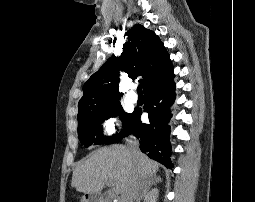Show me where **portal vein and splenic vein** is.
<instances>
[{"label":"portal vein and splenic vein","mask_w":255,"mask_h":202,"mask_svg":"<svg viewBox=\"0 0 255 202\" xmlns=\"http://www.w3.org/2000/svg\"><path fill=\"white\" fill-rule=\"evenodd\" d=\"M106 183H107V185L113 186V183H112L111 180L106 181ZM111 194H112V195H115V190H114V188L111 189Z\"/></svg>","instance_id":"portal-vein-and-splenic-vein-1"}]
</instances>
